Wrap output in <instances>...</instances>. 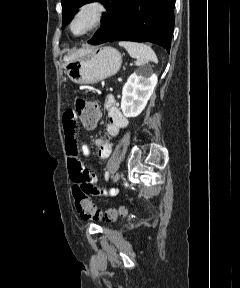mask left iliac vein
Here are the masks:
<instances>
[{"instance_id":"1","label":"left iliac vein","mask_w":240,"mask_h":288,"mask_svg":"<svg viewBox=\"0 0 240 288\" xmlns=\"http://www.w3.org/2000/svg\"><path fill=\"white\" fill-rule=\"evenodd\" d=\"M119 177H120V174L116 173L115 176H114V182H117Z\"/></svg>"}]
</instances>
